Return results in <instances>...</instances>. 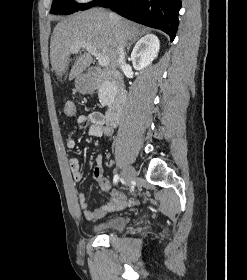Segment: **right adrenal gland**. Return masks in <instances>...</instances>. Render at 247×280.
Instances as JSON below:
<instances>
[{"instance_id":"2a0ac1e0","label":"right adrenal gland","mask_w":247,"mask_h":280,"mask_svg":"<svg viewBox=\"0 0 247 280\" xmlns=\"http://www.w3.org/2000/svg\"><path fill=\"white\" fill-rule=\"evenodd\" d=\"M133 43H135V40L131 41V42L129 43V45L127 46V51H128V52H129L130 47H131V45H132Z\"/></svg>"}]
</instances>
